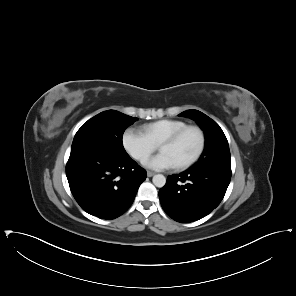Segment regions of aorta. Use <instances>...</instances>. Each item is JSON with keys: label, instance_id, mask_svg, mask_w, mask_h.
I'll return each mask as SVG.
<instances>
[{"label": "aorta", "instance_id": "aorta-1", "mask_svg": "<svg viewBox=\"0 0 296 296\" xmlns=\"http://www.w3.org/2000/svg\"><path fill=\"white\" fill-rule=\"evenodd\" d=\"M152 181H153V184L158 188H162L166 184V178L162 174L154 175Z\"/></svg>", "mask_w": 296, "mask_h": 296}]
</instances>
